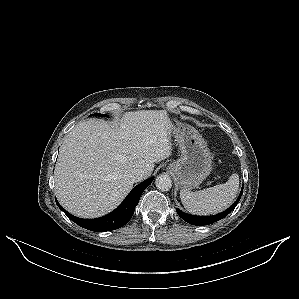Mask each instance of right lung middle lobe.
Segmentation results:
<instances>
[{"instance_id":"right-lung-middle-lobe-1","label":"right lung middle lobe","mask_w":299,"mask_h":299,"mask_svg":"<svg viewBox=\"0 0 299 299\" xmlns=\"http://www.w3.org/2000/svg\"><path fill=\"white\" fill-rule=\"evenodd\" d=\"M95 116H104V117H108L106 114H94Z\"/></svg>"}]
</instances>
